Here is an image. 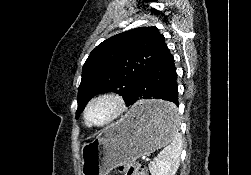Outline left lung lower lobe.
<instances>
[{
    "mask_svg": "<svg viewBox=\"0 0 251 175\" xmlns=\"http://www.w3.org/2000/svg\"><path fill=\"white\" fill-rule=\"evenodd\" d=\"M177 74L174 58L166 48L160 58L141 77L136 84L127 106L134 104L139 99H163L173 104H161L141 107L135 116L146 122H170L177 116L178 102ZM176 106H175V105Z\"/></svg>",
    "mask_w": 251,
    "mask_h": 175,
    "instance_id": "left-lung-lower-lobe-1",
    "label": "left lung lower lobe"
}]
</instances>
